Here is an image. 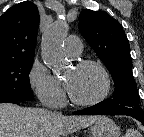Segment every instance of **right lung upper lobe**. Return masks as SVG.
<instances>
[{
    "mask_svg": "<svg viewBox=\"0 0 144 137\" xmlns=\"http://www.w3.org/2000/svg\"><path fill=\"white\" fill-rule=\"evenodd\" d=\"M39 12L30 1L12 6L0 17V62L34 57Z\"/></svg>",
    "mask_w": 144,
    "mask_h": 137,
    "instance_id": "right-lung-upper-lobe-1",
    "label": "right lung upper lobe"
}]
</instances>
